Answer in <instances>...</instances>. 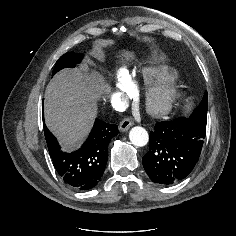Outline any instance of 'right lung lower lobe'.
<instances>
[{"label": "right lung lower lobe", "instance_id": "98d812e1", "mask_svg": "<svg viewBox=\"0 0 236 236\" xmlns=\"http://www.w3.org/2000/svg\"><path fill=\"white\" fill-rule=\"evenodd\" d=\"M117 134V125L96 119L82 147L66 153L44 124L46 143L57 173L67 184L78 190L91 189L100 181L108 160V144Z\"/></svg>", "mask_w": 236, "mask_h": 236}]
</instances>
